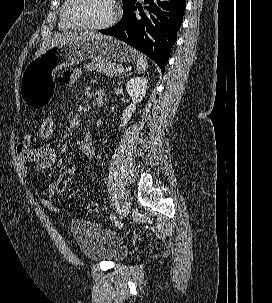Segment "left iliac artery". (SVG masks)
<instances>
[{
	"instance_id": "44dca946",
	"label": "left iliac artery",
	"mask_w": 272,
	"mask_h": 303,
	"mask_svg": "<svg viewBox=\"0 0 272 303\" xmlns=\"http://www.w3.org/2000/svg\"><path fill=\"white\" fill-rule=\"evenodd\" d=\"M115 208H116L117 212H119V213L121 212L120 204L118 201L115 202Z\"/></svg>"
}]
</instances>
